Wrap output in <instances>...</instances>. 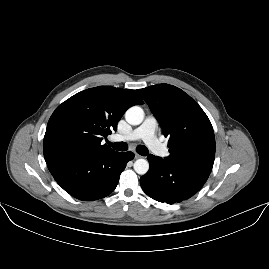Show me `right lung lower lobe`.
<instances>
[{
  "mask_svg": "<svg viewBox=\"0 0 269 269\" xmlns=\"http://www.w3.org/2000/svg\"><path fill=\"white\" fill-rule=\"evenodd\" d=\"M132 152L120 153L113 149L89 156L55 159L48 169L57 183L70 195L83 201L101 199L116 188L121 172Z\"/></svg>",
  "mask_w": 269,
  "mask_h": 269,
  "instance_id": "obj_1",
  "label": "right lung lower lobe"
}]
</instances>
